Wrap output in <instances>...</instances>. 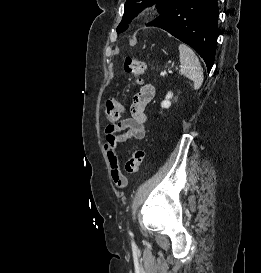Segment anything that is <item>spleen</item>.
Returning a JSON list of instances; mask_svg holds the SVG:
<instances>
[{
	"label": "spleen",
	"instance_id": "3e777b00",
	"mask_svg": "<svg viewBox=\"0 0 261 273\" xmlns=\"http://www.w3.org/2000/svg\"><path fill=\"white\" fill-rule=\"evenodd\" d=\"M179 52L181 63L180 74L193 81V88L195 90L199 89L203 83V69L198 57L194 51L184 43L179 45Z\"/></svg>",
	"mask_w": 261,
	"mask_h": 273
}]
</instances>
